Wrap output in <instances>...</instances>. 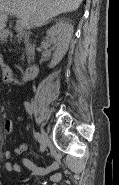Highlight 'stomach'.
Segmentation results:
<instances>
[{"label":"stomach","instance_id":"0dacf381","mask_svg":"<svg viewBox=\"0 0 119 185\" xmlns=\"http://www.w3.org/2000/svg\"><path fill=\"white\" fill-rule=\"evenodd\" d=\"M7 37V33L4 30H0V41H4Z\"/></svg>","mask_w":119,"mask_h":185}]
</instances>
